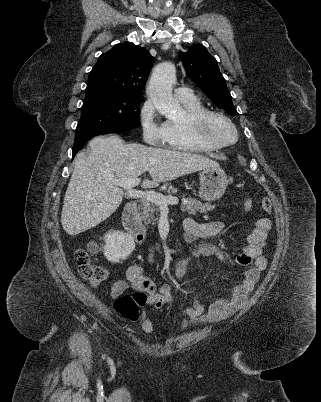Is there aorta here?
<instances>
[{
	"label": "aorta",
	"mask_w": 321,
	"mask_h": 402,
	"mask_svg": "<svg viewBox=\"0 0 321 402\" xmlns=\"http://www.w3.org/2000/svg\"><path fill=\"white\" fill-rule=\"evenodd\" d=\"M176 79V69L173 63L158 64L151 75L147 93L155 108L166 117H172L181 111L178 103L172 97V86Z\"/></svg>",
	"instance_id": "obj_1"
}]
</instances>
